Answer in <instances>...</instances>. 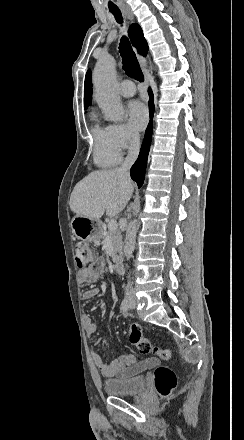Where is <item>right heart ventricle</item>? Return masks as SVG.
<instances>
[{
  "label": "right heart ventricle",
  "instance_id": "e07e8e85",
  "mask_svg": "<svg viewBox=\"0 0 244 440\" xmlns=\"http://www.w3.org/2000/svg\"><path fill=\"white\" fill-rule=\"evenodd\" d=\"M90 122L92 126L91 133L96 142L94 154L96 164L101 167H110L118 164L121 161L120 152H110L99 148L100 144L106 142L107 134L106 129L100 125L98 115L94 111L90 114Z\"/></svg>",
  "mask_w": 244,
  "mask_h": 440
}]
</instances>
